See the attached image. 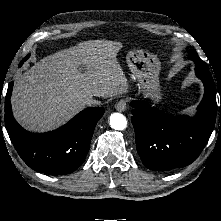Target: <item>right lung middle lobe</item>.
I'll use <instances>...</instances> for the list:
<instances>
[{
	"instance_id": "1",
	"label": "right lung middle lobe",
	"mask_w": 221,
	"mask_h": 221,
	"mask_svg": "<svg viewBox=\"0 0 221 221\" xmlns=\"http://www.w3.org/2000/svg\"><path fill=\"white\" fill-rule=\"evenodd\" d=\"M28 57H29V55H28V56H26V57L23 59V61L20 63V65H19V66H21V65L23 64V62L27 60V58H28Z\"/></svg>"
}]
</instances>
